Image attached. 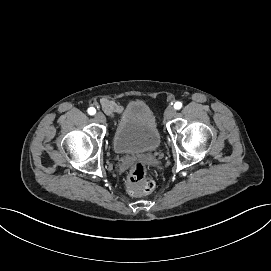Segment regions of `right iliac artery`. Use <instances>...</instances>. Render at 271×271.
I'll list each match as a JSON object with an SVG mask.
<instances>
[{"instance_id":"right-iliac-artery-1","label":"right iliac artery","mask_w":271,"mask_h":271,"mask_svg":"<svg viewBox=\"0 0 271 271\" xmlns=\"http://www.w3.org/2000/svg\"><path fill=\"white\" fill-rule=\"evenodd\" d=\"M88 113H89L90 115H94V114L96 113L95 108L90 107V108L88 109Z\"/></svg>"}]
</instances>
